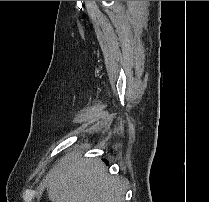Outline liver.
Wrapping results in <instances>:
<instances>
[{
  "label": "liver",
  "mask_w": 209,
  "mask_h": 202,
  "mask_svg": "<svg viewBox=\"0 0 209 202\" xmlns=\"http://www.w3.org/2000/svg\"><path fill=\"white\" fill-rule=\"evenodd\" d=\"M52 202H123V182L106 173L97 159H82L70 153L61 157L46 175Z\"/></svg>",
  "instance_id": "1"
}]
</instances>
